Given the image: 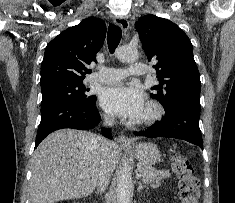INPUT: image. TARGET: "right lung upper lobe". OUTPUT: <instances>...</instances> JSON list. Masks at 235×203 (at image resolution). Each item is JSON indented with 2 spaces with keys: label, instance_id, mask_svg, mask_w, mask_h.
<instances>
[{
  "label": "right lung upper lobe",
  "instance_id": "1",
  "mask_svg": "<svg viewBox=\"0 0 235 203\" xmlns=\"http://www.w3.org/2000/svg\"><path fill=\"white\" fill-rule=\"evenodd\" d=\"M106 26L94 17L83 20L57 35L46 46L41 64V85L57 81L81 80L91 70L86 66L104 43Z\"/></svg>",
  "mask_w": 235,
  "mask_h": 203
}]
</instances>
